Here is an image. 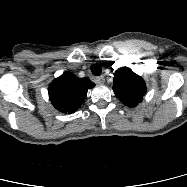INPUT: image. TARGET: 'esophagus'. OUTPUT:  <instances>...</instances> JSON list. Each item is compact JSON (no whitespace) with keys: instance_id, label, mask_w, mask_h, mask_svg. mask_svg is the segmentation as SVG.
<instances>
[{"instance_id":"obj_1","label":"esophagus","mask_w":187,"mask_h":187,"mask_svg":"<svg viewBox=\"0 0 187 187\" xmlns=\"http://www.w3.org/2000/svg\"><path fill=\"white\" fill-rule=\"evenodd\" d=\"M95 82L97 84H103L105 82L104 76H98V77H96Z\"/></svg>"}]
</instances>
